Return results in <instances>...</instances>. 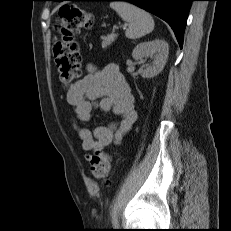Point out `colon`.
<instances>
[{"instance_id":"obj_1","label":"colon","mask_w":231,"mask_h":231,"mask_svg":"<svg viewBox=\"0 0 231 231\" xmlns=\"http://www.w3.org/2000/svg\"><path fill=\"white\" fill-rule=\"evenodd\" d=\"M92 24V15L77 5L66 4L59 9V37L54 43L53 55L59 79L65 86L72 85L81 75V55L74 34ZM110 168L111 159L107 153L97 151L90 156V172L95 179L105 180Z\"/></svg>"}]
</instances>
